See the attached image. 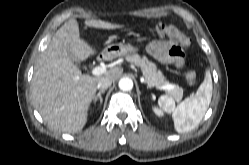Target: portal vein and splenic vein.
<instances>
[{"label":"portal vein and splenic vein","instance_id":"portal-vein-and-splenic-vein-1","mask_svg":"<svg viewBox=\"0 0 249 165\" xmlns=\"http://www.w3.org/2000/svg\"><path fill=\"white\" fill-rule=\"evenodd\" d=\"M106 71H107L106 67L97 66L92 69L91 73L92 75L98 76V75L104 74ZM156 87L160 90H171L175 88V86L172 84H166V85H161V86H156Z\"/></svg>","mask_w":249,"mask_h":165}]
</instances>
